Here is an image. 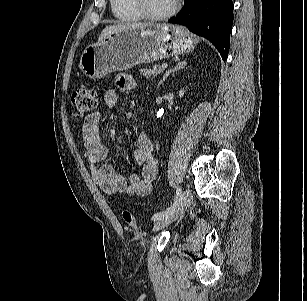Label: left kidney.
<instances>
[{"label":"left kidney","mask_w":307,"mask_h":301,"mask_svg":"<svg viewBox=\"0 0 307 301\" xmlns=\"http://www.w3.org/2000/svg\"><path fill=\"white\" fill-rule=\"evenodd\" d=\"M183 95H184V89H181V90L179 91V96H180V97H183Z\"/></svg>","instance_id":"left-kidney-1"}]
</instances>
